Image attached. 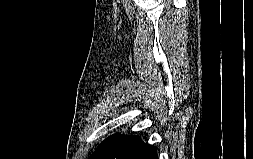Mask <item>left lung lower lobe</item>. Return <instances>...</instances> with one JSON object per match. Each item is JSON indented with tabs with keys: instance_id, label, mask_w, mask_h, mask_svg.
<instances>
[{
	"instance_id": "1",
	"label": "left lung lower lobe",
	"mask_w": 253,
	"mask_h": 159,
	"mask_svg": "<svg viewBox=\"0 0 253 159\" xmlns=\"http://www.w3.org/2000/svg\"><path fill=\"white\" fill-rule=\"evenodd\" d=\"M90 159H157V148L139 136L115 134L104 140Z\"/></svg>"
}]
</instances>
